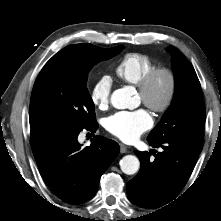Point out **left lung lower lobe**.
Instances as JSON below:
<instances>
[{
  "mask_svg": "<svg viewBox=\"0 0 221 221\" xmlns=\"http://www.w3.org/2000/svg\"><path fill=\"white\" fill-rule=\"evenodd\" d=\"M153 147H162L163 152L154 154L135 151L141 162L138 174L128 182L129 200L143 208H158L172 201L184 188L202 144L184 140L169 139L161 143L149 142Z\"/></svg>",
  "mask_w": 221,
  "mask_h": 221,
  "instance_id": "1",
  "label": "left lung lower lobe"
}]
</instances>
